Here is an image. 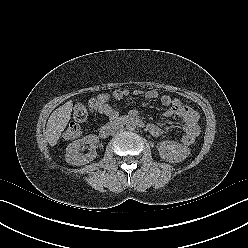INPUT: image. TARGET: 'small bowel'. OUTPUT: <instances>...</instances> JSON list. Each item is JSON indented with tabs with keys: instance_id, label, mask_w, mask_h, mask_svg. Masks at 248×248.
I'll return each instance as SVG.
<instances>
[{
	"instance_id": "1",
	"label": "small bowel",
	"mask_w": 248,
	"mask_h": 248,
	"mask_svg": "<svg viewBox=\"0 0 248 248\" xmlns=\"http://www.w3.org/2000/svg\"><path fill=\"white\" fill-rule=\"evenodd\" d=\"M131 95V91L128 89L115 90L112 95L104 93L99 96L101 99V105L98 111L108 118L114 119L118 115V109L115 105L111 104L110 101L113 98L116 101H120ZM135 96H142L147 100H153L159 98V93L156 90L140 91L135 90L133 92ZM160 102L163 106L167 107L164 112L166 118L173 116L180 117L184 122V133L186 136L197 137L200 132L199 125V113L197 110L184 105L179 99L171 98L169 95L160 96ZM149 132L154 136H159L162 134L163 130L156 124L148 125Z\"/></svg>"
}]
</instances>
